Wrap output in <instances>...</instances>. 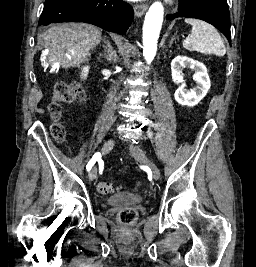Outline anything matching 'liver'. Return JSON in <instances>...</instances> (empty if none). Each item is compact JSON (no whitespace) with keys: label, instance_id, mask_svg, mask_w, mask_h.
<instances>
[{"label":"liver","instance_id":"liver-1","mask_svg":"<svg viewBox=\"0 0 256 267\" xmlns=\"http://www.w3.org/2000/svg\"><path fill=\"white\" fill-rule=\"evenodd\" d=\"M101 30L91 24H54L43 38L45 60L62 68H75L88 62L91 50L101 42Z\"/></svg>","mask_w":256,"mask_h":267}]
</instances>
